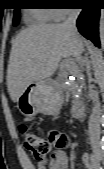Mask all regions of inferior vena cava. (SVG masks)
<instances>
[{"label": "inferior vena cava", "mask_w": 104, "mask_h": 169, "mask_svg": "<svg viewBox=\"0 0 104 169\" xmlns=\"http://www.w3.org/2000/svg\"><path fill=\"white\" fill-rule=\"evenodd\" d=\"M79 15V9H71L68 13V17L66 21L63 23V26L67 28L69 31L73 33V35L78 39L79 34L77 32L76 21ZM80 48L83 49V46L80 44ZM83 65L86 68L88 75L90 76L91 65L88 58L85 56L83 59ZM90 98L93 102V108L91 115L89 117V139L92 148H99L100 147V116H101V109H100V102L98 93L91 89L90 90Z\"/></svg>", "instance_id": "602c4592"}]
</instances>
